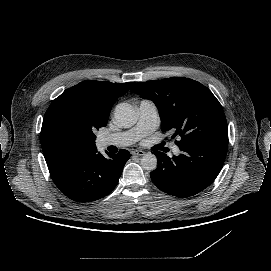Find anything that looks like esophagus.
I'll list each match as a JSON object with an SVG mask.
<instances>
[{
    "label": "esophagus",
    "instance_id": "esophagus-1",
    "mask_svg": "<svg viewBox=\"0 0 271 271\" xmlns=\"http://www.w3.org/2000/svg\"><path fill=\"white\" fill-rule=\"evenodd\" d=\"M131 153L137 156H143L145 154V152L141 150H133Z\"/></svg>",
    "mask_w": 271,
    "mask_h": 271
}]
</instances>
